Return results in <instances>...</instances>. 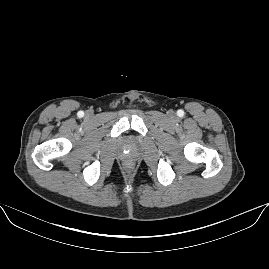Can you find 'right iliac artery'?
I'll return each mask as SVG.
<instances>
[{
  "instance_id": "1",
  "label": "right iliac artery",
  "mask_w": 269,
  "mask_h": 269,
  "mask_svg": "<svg viewBox=\"0 0 269 269\" xmlns=\"http://www.w3.org/2000/svg\"><path fill=\"white\" fill-rule=\"evenodd\" d=\"M78 116H79V117H83V116H84V112H83V111H79V112H78Z\"/></svg>"
}]
</instances>
